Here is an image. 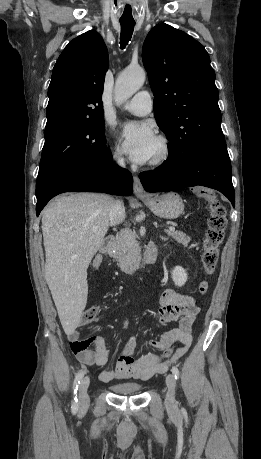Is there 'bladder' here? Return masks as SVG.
<instances>
[{"mask_svg": "<svg viewBox=\"0 0 261 459\" xmlns=\"http://www.w3.org/2000/svg\"><path fill=\"white\" fill-rule=\"evenodd\" d=\"M113 392L124 395L136 394L141 391V385L136 382H119L111 385Z\"/></svg>", "mask_w": 261, "mask_h": 459, "instance_id": "1", "label": "bladder"}]
</instances>
